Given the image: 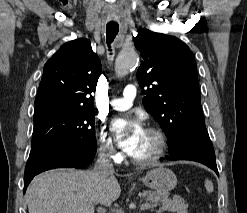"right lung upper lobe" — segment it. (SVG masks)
<instances>
[{
	"label": "right lung upper lobe",
	"instance_id": "cb5924a9",
	"mask_svg": "<svg viewBox=\"0 0 247 213\" xmlns=\"http://www.w3.org/2000/svg\"><path fill=\"white\" fill-rule=\"evenodd\" d=\"M100 74L101 62L89 40L62 45L44 66L34 112L54 107L94 110L90 94Z\"/></svg>",
	"mask_w": 247,
	"mask_h": 213
}]
</instances>
